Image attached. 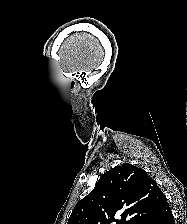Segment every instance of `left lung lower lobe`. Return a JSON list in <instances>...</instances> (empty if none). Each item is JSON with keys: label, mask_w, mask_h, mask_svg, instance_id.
<instances>
[{"label": "left lung lower lobe", "mask_w": 187, "mask_h": 224, "mask_svg": "<svg viewBox=\"0 0 187 224\" xmlns=\"http://www.w3.org/2000/svg\"><path fill=\"white\" fill-rule=\"evenodd\" d=\"M173 214L164 194L161 195L158 206L147 224H173Z\"/></svg>", "instance_id": "obj_1"}]
</instances>
